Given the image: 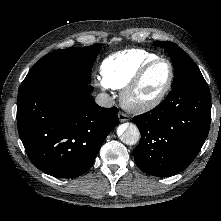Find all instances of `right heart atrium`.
Returning <instances> with one entry per match:
<instances>
[{
	"instance_id": "obj_1",
	"label": "right heart atrium",
	"mask_w": 221,
	"mask_h": 221,
	"mask_svg": "<svg viewBox=\"0 0 221 221\" xmlns=\"http://www.w3.org/2000/svg\"><path fill=\"white\" fill-rule=\"evenodd\" d=\"M97 83L99 86H101L102 88H107V86L104 84V82L102 81V79H98Z\"/></svg>"
}]
</instances>
